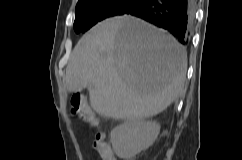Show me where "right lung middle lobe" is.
Returning <instances> with one entry per match:
<instances>
[{
	"mask_svg": "<svg viewBox=\"0 0 242 160\" xmlns=\"http://www.w3.org/2000/svg\"><path fill=\"white\" fill-rule=\"evenodd\" d=\"M142 0H82L76 6L74 30L85 32L97 22L123 15Z\"/></svg>",
	"mask_w": 242,
	"mask_h": 160,
	"instance_id": "right-lung-middle-lobe-1",
	"label": "right lung middle lobe"
}]
</instances>
